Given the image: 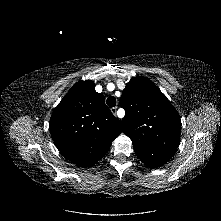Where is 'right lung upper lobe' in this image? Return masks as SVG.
Wrapping results in <instances>:
<instances>
[{"instance_id":"right-lung-upper-lobe-1","label":"right lung upper lobe","mask_w":221,"mask_h":221,"mask_svg":"<svg viewBox=\"0 0 221 221\" xmlns=\"http://www.w3.org/2000/svg\"><path fill=\"white\" fill-rule=\"evenodd\" d=\"M93 81L73 85L50 118V132L62 155L76 165L89 167L109 150L122 124L95 91Z\"/></svg>"}]
</instances>
